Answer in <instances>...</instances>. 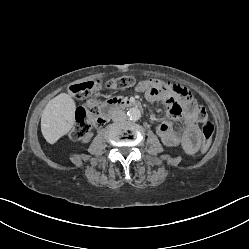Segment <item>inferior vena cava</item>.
I'll use <instances>...</instances> for the list:
<instances>
[{
	"instance_id": "1",
	"label": "inferior vena cava",
	"mask_w": 249,
	"mask_h": 249,
	"mask_svg": "<svg viewBox=\"0 0 249 249\" xmlns=\"http://www.w3.org/2000/svg\"><path fill=\"white\" fill-rule=\"evenodd\" d=\"M126 118V113L123 110H115L112 113V120L115 122H123Z\"/></svg>"
}]
</instances>
